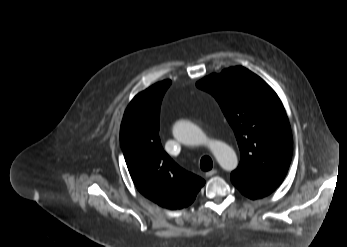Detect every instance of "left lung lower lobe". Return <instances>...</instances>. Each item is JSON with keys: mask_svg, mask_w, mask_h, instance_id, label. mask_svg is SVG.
I'll use <instances>...</instances> for the list:
<instances>
[{"mask_svg": "<svg viewBox=\"0 0 347 247\" xmlns=\"http://www.w3.org/2000/svg\"><path fill=\"white\" fill-rule=\"evenodd\" d=\"M231 181L234 186L241 191L242 194L251 199H257L267 196L277 188L273 186H255L235 178H232Z\"/></svg>", "mask_w": 347, "mask_h": 247, "instance_id": "obj_1", "label": "left lung lower lobe"}]
</instances>
